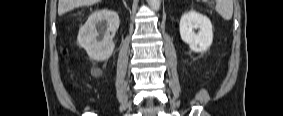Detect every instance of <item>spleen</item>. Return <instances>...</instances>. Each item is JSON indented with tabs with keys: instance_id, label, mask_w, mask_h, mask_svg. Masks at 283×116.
<instances>
[{
	"instance_id": "3e777b00",
	"label": "spleen",
	"mask_w": 283,
	"mask_h": 116,
	"mask_svg": "<svg viewBox=\"0 0 283 116\" xmlns=\"http://www.w3.org/2000/svg\"><path fill=\"white\" fill-rule=\"evenodd\" d=\"M211 4H214L211 1ZM215 10L220 14L224 20H230L233 15V1L232 0H219L216 2Z\"/></svg>"
}]
</instances>
